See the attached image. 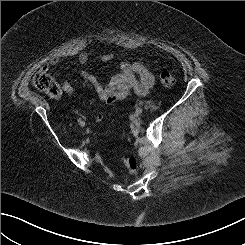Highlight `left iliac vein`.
<instances>
[{"instance_id": "obj_1", "label": "left iliac vein", "mask_w": 245, "mask_h": 245, "mask_svg": "<svg viewBox=\"0 0 245 245\" xmlns=\"http://www.w3.org/2000/svg\"><path fill=\"white\" fill-rule=\"evenodd\" d=\"M135 113H136L137 115L143 113V108H142V107H136Z\"/></svg>"}]
</instances>
